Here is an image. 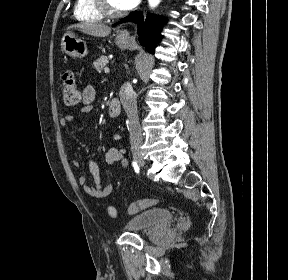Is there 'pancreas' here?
<instances>
[{
	"instance_id": "cf45deb5",
	"label": "pancreas",
	"mask_w": 288,
	"mask_h": 280,
	"mask_svg": "<svg viewBox=\"0 0 288 280\" xmlns=\"http://www.w3.org/2000/svg\"><path fill=\"white\" fill-rule=\"evenodd\" d=\"M108 64V58L107 56H101L97 59V61H95L93 63L95 69L98 71V72H101L104 67Z\"/></svg>"
}]
</instances>
